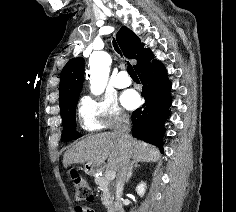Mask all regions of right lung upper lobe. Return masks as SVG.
<instances>
[{
    "instance_id": "cb5924a9",
    "label": "right lung upper lobe",
    "mask_w": 236,
    "mask_h": 212,
    "mask_svg": "<svg viewBox=\"0 0 236 212\" xmlns=\"http://www.w3.org/2000/svg\"><path fill=\"white\" fill-rule=\"evenodd\" d=\"M117 41L125 57L137 60L135 70L150 53L144 49L140 39L127 27L123 26L117 33ZM84 61L82 57L71 59L62 69L60 75L59 104L63 109L70 100L79 98L83 85Z\"/></svg>"
}]
</instances>
